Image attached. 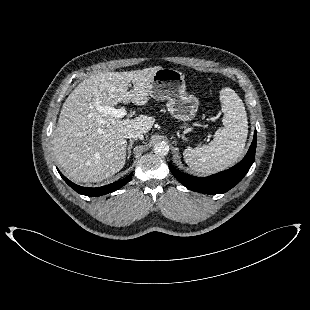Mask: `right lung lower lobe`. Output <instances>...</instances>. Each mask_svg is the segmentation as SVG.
Wrapping results in <instances>:
<instances>
[{
	"instance_id": "1",
	"label": "right lung lower lobe",
	"mask_w": 310,
	"mask_h": 310,
	"mask_svg": "<svg viewBox=\"0 0 310 310\" xmlns=\"http://www.w3.org/2000/svg\"><path fill=\"white\" fill-rule=\"evenodd\" d=\"M58 172L60 173L59 170H58ZM60 175L64 179V181L71 188H73L76 192H78L79 194H83L86 196H93V197L94 196H101V195H104V194L118 190L119 188L124 186L126 183H128L132 177V173H131L127 177H125L124 179L119 180V181L114 182V183H111L109 185H105V186L97 187V188H87V187L78 186V185L72 183L70 180H68L61 173H60Z\"/></svg>"
}]
</instances>
